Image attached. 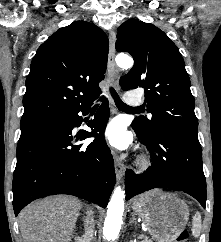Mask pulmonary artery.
<instances>
[{
  "label": "pulmonary artery",
  "instance_id": "1",
  "mask_svg": "<svg viewBox=\"0 0 221 242\" xmlns=\"http://www.w3.org/2000/svg\"><path fill=\"white\" fill-rule=\"evenodd\" d=\"M126 100H128V103L131 105L140 104V100L132 98V92H129L128 94H126Z\"/></svg>",
  "mask_w": 221,
  "mask_h": 242
}]
</instances>
